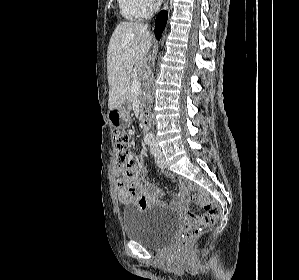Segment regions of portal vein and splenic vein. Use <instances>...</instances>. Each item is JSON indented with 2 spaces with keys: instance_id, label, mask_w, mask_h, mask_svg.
<instances>
[{
  "instance_id": "obj_1",
  "label": "portal vein and splenic vein",
  "mask_w": 299,
  "mask_h": 280,
  "mask_svg": "<svg viewBox=\"0 0 299 280\" xmlns=\"http://www.w3.org/2000/svg\"><path fill=\"white\" fill-rule=\"evenodd\" d=\"M140 86H141L140 81L137 78H134L131 84V93L138 94L140 90Z\"/></svg>"
}]
</instances>
